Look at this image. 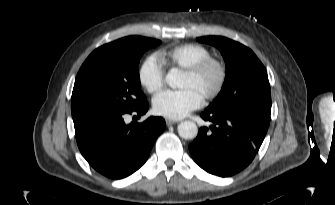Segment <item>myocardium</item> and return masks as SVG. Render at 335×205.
Listing matches in <instances>:
<instances>
[{
	"label": "myocardium",
	"mask_w": 335,
	"mask_h": 205,
	"mask_svg": "<svg viewBox=\"0 0 335 205\" xmlns=\"http://www.w3.org/2000/svg\"><path fill=\"white\" fill-rule=\"evenodd\" d=\"M210 68L217 69L218 78L215 86L203 95V97L208 100L216 98L224 89L228 77V69L225 62L219 58L210 56L185 69L186 74L198 78Z\"/></svg>",
	"instance_id": "obj_1"
}]
</instances>
